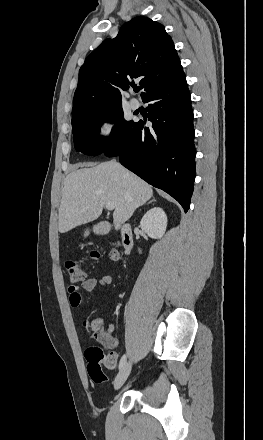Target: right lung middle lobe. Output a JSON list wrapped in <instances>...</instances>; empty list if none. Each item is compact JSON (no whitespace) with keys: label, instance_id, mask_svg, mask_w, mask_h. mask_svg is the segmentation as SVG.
I'll use <instances>...</instances> for the list:
<instances>
[{"label":"right lung middle lobe","instance_id":"dd1d6c3e","mask_svg":"<svg viewBox=\"0 0 263 440\" xmlns=\"http://www.w3.org/2000/svg\"><path fill=\"white\" fill-rule=\"evenodd\" d=\"M105 121L115 122L108 139L99 136L100 125ZM134 124V121H126L123 118L122 106L81 114L72 119L74 147L87 155L101 154L108 146L119 143Z\"/></svg>","mask_w":263,"mask_h":440}]
</instances>
